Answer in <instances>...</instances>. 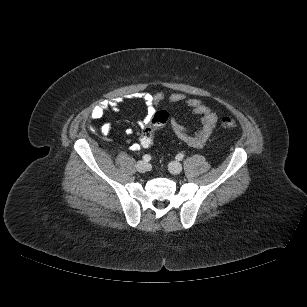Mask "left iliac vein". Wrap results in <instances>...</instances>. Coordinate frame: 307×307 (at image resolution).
I'll return each instance as SVG.
<instances>
[{"mask_svg": "<svg viewBox=\"0 0 307 307\" xmlns=\"http://www.w3.org/2000/svg\"><path fill=\"white\" fill-rule=\"evenodd\" d=\"M168 169L172 174L177 175L182 172V165L177 161H172L169 163Z\"/></svg>", "mask_w": 307, "mask_h": 307, "instance_id": "1", "label": "left iliac vein"}]
</instances>
